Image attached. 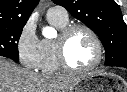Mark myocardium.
<instances>
[{"label":"myocardium","instance_id":"obj_1","mask_svg":"<svg viewBox=\"0 0 127 92\" xmlns=\"http://www.w3.org/2000/svg\"><path fill=\"white\" fill-rule=\"evenodd\" d=\"M77 30H84L91 36V38L95 43L96 51H97V56L95 61L88 67L82 69L73 67L69 63L67 58L68 41L71 35ZM55 50H56V56L60 68L65 72L74 73V74H84L92 71L93 69L97 68L101 64L104 56L103 44L96 31L92 29L90 26L81 23L67 25L65 28L61 30V32L59 33L58 37L55 40Z\"/></svg>","mask_w":127,"mask_h":92}]
</instances>
